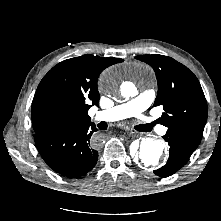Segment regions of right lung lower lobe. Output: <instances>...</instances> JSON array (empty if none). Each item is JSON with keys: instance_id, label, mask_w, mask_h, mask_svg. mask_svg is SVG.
Here are the masks:
<instances>
[{"instance_id": "right-lung-lower-lobe-1", "label": "right lung lower lobe", "mask_w": 221, "mask_h": 221, "mask_svg": "<svg viewBox=\"0 0 221 221\" xmlns=\"http://www.w3.org/2000/svg\"><path fill=\"white\" fill-rule=\"evenodd\" d=\"M93 123L59 126L36 133V146L47 165L67 177H80L93 169L98 152L94 149Z\"/></svg>"}]
</instances>
